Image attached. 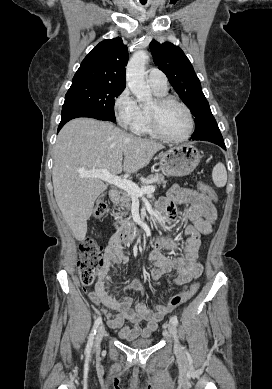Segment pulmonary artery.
<instances>
[{
  "label": "pulmonary artery",
  "mask_w": 272,
  "mask_h": 389,
  "mask_svg": "<svg viewBox=\"0 0 272 389\" xmlns=\"http://www.w3.org/2000/svg\"><path fill=\"white\" fill-rule=\"evenodd\" d=\"M147 82L152 90L166 92L168 89L167 78L165 74L158 69L151 68L148 70Z\"/></svg>",
  "instance_id": "e3ab8cb5"
}]
</instances>
